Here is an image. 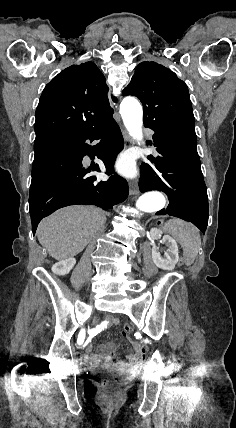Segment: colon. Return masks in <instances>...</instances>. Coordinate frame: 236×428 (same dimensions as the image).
I'll list each match as a JSON object with an SVG mask.
<instances>
[{
    "instance_id": "colon-1",
    "label": "colon",
    "mask_w": 236,
    "mask_h": 428,
    "mask_svg": "<svg viewBox=\"0 0 236 428\" xmlns=\"http://www.w3.org/2000/svg\"><path fill=\"white\" fill-rule=\"evenodd\" d=\"M131 331V326L129 324H125L124 328H123V332L125 334L129 333ZM107 384L112 387L115 388L118 384H119V380L118 379H113V380H109L107 381Z\"/></svg>"
}]
</instances>
